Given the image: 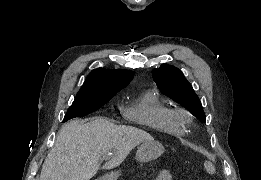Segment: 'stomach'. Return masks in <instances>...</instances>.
<instances>
[{
    "label": "stomach",
    "mask_w": 261,
    "mask_h": 180,
    "mask_svg": "<svg viewBox=\"0 0 261 180\" xmlns=\"http://www.w3.org/2000/svg\"><path fill=\"white\" fill-rule=\"evenodd\" d=\"M163 153L164 147L160 142L155 141L154 139L145 141L138 147L136 152V160L140 163L149 162L159 158ZM119 176L120 172L116 171L106 174L97 180H117Z\"/></svg>",
    "instance_id": "stomach-1"
}]
</instances>
